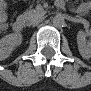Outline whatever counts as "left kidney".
I'll return each instance as SVG.
<instances>
[{
  "label": "left kidney",
  "instance_id": "1",
  "mask_svg": "<svg viewBox=\"0 0 91 91\" xmlns=\"http://www.w3.org/2000/svg\"><path fill=\"white\" fill-rule=\"evenodd\" d=\"M86 33L83 31H79L77 34V44L78 50L82 57L89 58L91 54V46L90 43L86 40Z\"/></svg>",
  "mask_w": 91,
  "mask_h": 91
}]
</instances>
